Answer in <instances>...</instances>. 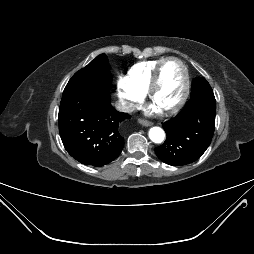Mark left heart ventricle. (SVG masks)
I'll use <instances>...</instances> for the list:
<instances>
[{
	"instance_id": "b2bd125f",
	"label": "left heart ventricle",
	"mask_w": 254,
	"mask_h": 254,
	"mask_svg": "<svg viewBox=\"0 0 254 254\" xmlns=\"http://www.w3.org/2000/svg\"><path fill=\"white\" fill-rule=\"evenodd\" d=\"M183 88V70L176 61L167 62L161 72L160 84L152 104L159 110L173 106L179 99Z\"/></svg>"
}]
</instances>
